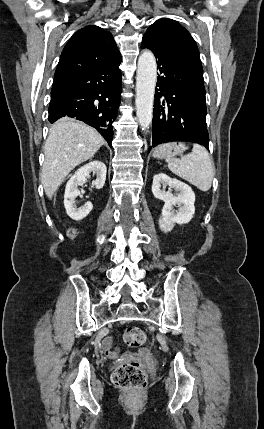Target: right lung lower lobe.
Masks as SVG:
<instances>
[{"label": "right lung lower lobe", "mask_w": 264, "mask_h": 429, "mask_svg": "<svg viewBox=\"0 0 264 429\" xmlns=\"http://www.w3.org/2000/svg\"><path fill=\"white\" fill-rule=\"evenodd\" d=\"M120 53L92 70L53 86L49 122L69 116L94 127L112 147L113 122L121 97Z\"/></svg>", "instance_id": "right-lung-lower-lobe-1"}]
</instances>
